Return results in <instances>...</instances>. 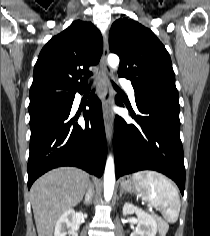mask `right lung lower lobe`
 <instances>
[{
    "label": "right lung lower lobe",
    "mask_w": 210,
    "mask_h": 236,
    "mask_svg": "<svg viewBox=\"0 0 210 236\" xmlns=\"http://www.w3.org/2000/svg\"><path fill=\"white\" fill-rule=\"evenodd\" d=\"M67 101L53 103L30 113V153L28 188L45 172L60 166H76L101 177L105 167L107 145L100 100L90 96L84 112L85 123L74 124L70 111L75 93Z\"/></svg>",
    "instance_id": "1"
}]
</instances>
